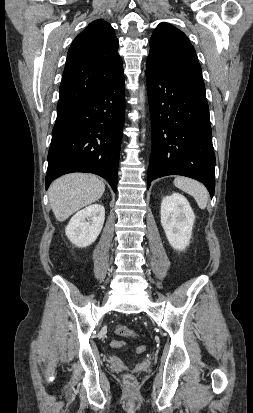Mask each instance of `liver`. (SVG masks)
Here are the masks:
<instances>
[{
  "instance_id": "obj_1",
  "label": "liver",
  "mask_w": 253,
  "mask_h": 413,
  "mask_svg": "<svg viewBox=\"0 0 253 413\" xmlns=\"http://www.w3.org/2000/svg\"><path fill=\"white\" fill-rule=\"evenodd\" d=\"M105 191L97 176L72 173L55 180L49 190V202L55 218L62 222L79 209L98 201Z\"/></svg>"
}]
</instances>
